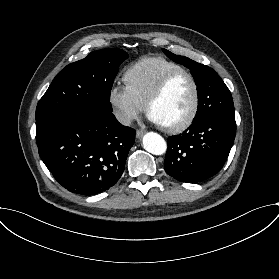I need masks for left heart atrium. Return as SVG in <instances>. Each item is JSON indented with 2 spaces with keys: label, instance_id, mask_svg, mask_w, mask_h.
Here are the masks:
<instances>
[{
  "label": "left heart atrium",
  "instance_id": "1",
  "mask_svg": "<svg viewBox=\"0 0 279 279\" xmlns=\"http://www.w3.org/2000/svg\"><path fill=\"white\" fill-rule=\"evenodd\" d=\"M149 120H150V122H152L153 124L161 125V126H162V122H161L157 117H155V116L152 115V114L149 115Z\"/></svg>",
  "mask_w": 279,
  "mask_h": 279
}]
</instances>
